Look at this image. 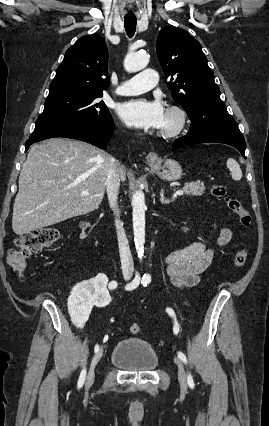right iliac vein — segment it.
Here are the masks:
<instances>
[{
  "mask_svg": "<svg viewBox=\"0 0 269 426\" xmlns=\"http://www.w3.org/2000/svg\"><path fill=\"white\" fill-rule=\"evenodd\" d=\"M102 355H103V348H100L99 351L96 352V354L94 355V357L91 361L90 369L88 371L86 381H85V387L87 389L90 388L92 386L93 382H94L95 367H96L97 363L100 361Z\"/></svg>",
  "mask_w": 269,
  "mask_h": 426,
  "instance_id": "63e3f726",
  "label": "right iliac vein"
}]
</instances>
